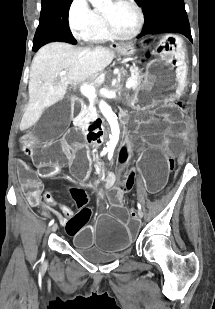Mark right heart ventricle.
Returning a JSON list of instances; mask_svg holds the SVG:
<instances>
[{
    "label": "right heart ventricle",
    "instance_id": "obj_1",
    "mask_svg": "<svg viewBox=\"0 0 215 309\" xmlns=\"http://www.w3.org/2000/svg\"><path fill=\"white\" fill-rule=\"evenodd\" d=\"M86 33L90 34L91 38H94L95 42H102L107 36L106 31H103L102 27H87Z\"/></svg>",
    "mask_w": 215,
    "mask_h": 309
}]
</instances>
